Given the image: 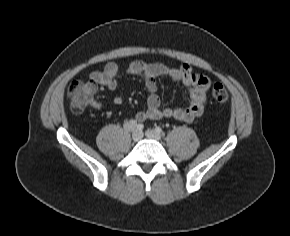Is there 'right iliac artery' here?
Here are the masks:
<instances>
[{
	"label": "right iliac artery",
	"instance_id": "obj_1",
	"mask_svg": "<svg viewBox=\"0 0 290 236\" xmlns=\"http://www.w3.org/2000/svg\"><path fill=\"white\" fill-rule=\"evenodd\" d=\"M138 131H142L144 129V125L143 124H137L136 123V127H135Z\"/></svg>",
	"mask_w": 290,
	"mask_h": 236
}]
</instances>
